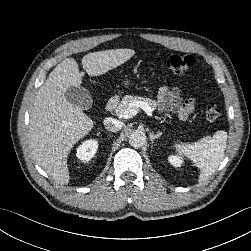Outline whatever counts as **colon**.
<instances>
[{
    "mask_svg": "<svg viewBox=\"0 0 251 251\" xmlns=\"http://www.w3.org/2000/svg\"><path fill=\"white\" fill-rule=\"evenodd\" d=\"M162 65L173 73L185 74L194 66V58L189 55H170L162 60ZM204 113L208 121L217 120L221 114L218 106L213 103L206 105Z\"/></svg>",
    "mask_w": 251,
    "mask_h": 251,
    "instance_id": "obj_1",
    "label": "colon"
}]
</instances>
